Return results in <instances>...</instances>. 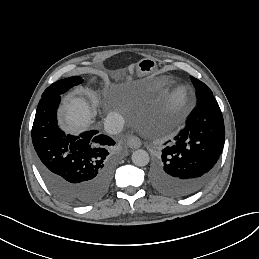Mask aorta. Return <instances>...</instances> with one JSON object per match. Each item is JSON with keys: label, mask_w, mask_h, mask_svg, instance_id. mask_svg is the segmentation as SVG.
<instances>
[{"label": "aorta", "mask_w": 259, "mask_h": 259, "mask_svg": "<svg viewBox=\"0 0 259 259\" xmlns=\"http://www.w3.org/2000/svg\"><path fill=\"white\" fill-rule=\"evenodd\" d=\"M132 162L139 167L146 166L149 163V154L143 149H139L133 152Z\"/></svg>", "instance_id": "aorta-1"}]
</instances>
